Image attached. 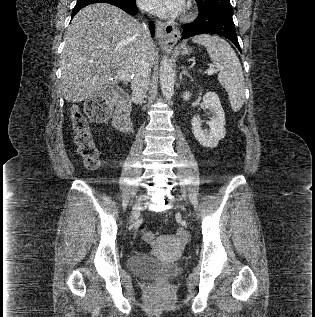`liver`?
Here are the masks:
<instances>
[{
  "mask_svg": "<svg viewBox=\"0 0 315 317\" xmlns=\"http://www.w3.org/2000/svg\"><path fill=\"white\" fill-rule=\"evenodd\" d=\"M141 24L121 9L106 3L89 5L73 18L65 33L61 56V89L69 102L90 99L107 87L112 69L122 70L125 79L134 73ZM150 66L158 57L151 40Z\"/></svg>",
  "mask_w": 315,
  "mask_h": 317,
  "instance_id": "obj_1",
  "label": "liver"
}]
</instances>
